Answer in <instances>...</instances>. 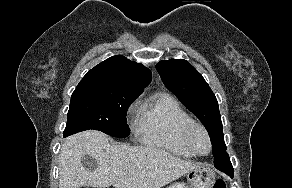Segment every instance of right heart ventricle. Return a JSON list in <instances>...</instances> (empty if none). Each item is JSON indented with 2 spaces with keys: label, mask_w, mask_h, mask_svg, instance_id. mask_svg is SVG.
I'll return each instance as SVG.
<instances>
[{
  "label": "right heart ventricle",
  "mask_w": 292,
  "mask_h": 188,
  "mask_svg": "<svg viewBox=\"0 0 292 188\" xmlns=\"http://www.w3.org/2000/svg\"><path fill=\"white\" fill-rule=\"evenodd\" d=\"M191 121V116L173 96L159 93L141 106L135 131L143 144L191 158L194 154L182 139V130Z\"/></svg>",
  "instance_id": "e07e8e85"
}]
</instances>
